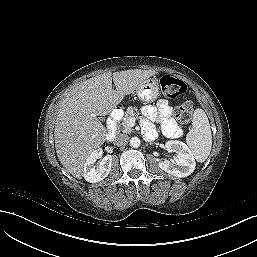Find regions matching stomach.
Returning a JSON list of instances; mask_svg holds the SVG:
<instances>
[{"label":"stomach","instance_id":"stomach-1","mask_svg":"<svg viewBox=\"0 0 257 257\" xmlns=\"http://www.w3.org/2000/svg\"><path fill=\"white\" fill-rule=\"evenodd\" d=\"M136 95L145 103L154 102L159 96V83L155 78L142 81L136 88Z\"/></svg>","mask_w":257,"mask_h":257}]
</instances>
